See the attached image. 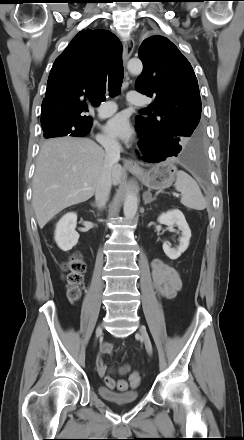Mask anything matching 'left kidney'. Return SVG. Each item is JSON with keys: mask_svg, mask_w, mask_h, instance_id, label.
<instances>
[{"mask_svg": "<svg viewBox=\"0 0 244 440\" xmlns=\"http://www.w3.org/2000/svg\"><path fill=\"white\" fill-rule=\"evenodd\" d=\"M158 222L167 226H177L181 230L182 236L179 240V246L171 248L166 242L163 243L164 253L172 260H175L181 256V254L188 248L191 238V230L186 222L183 213L178 210H170L167 213H163L158 217Z\"/></svg>", "mask_w": 244, "mask_h": 440, "instance_id": "1", "label": "left kidney"}]
</instances>
